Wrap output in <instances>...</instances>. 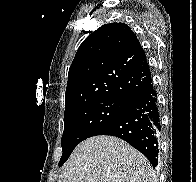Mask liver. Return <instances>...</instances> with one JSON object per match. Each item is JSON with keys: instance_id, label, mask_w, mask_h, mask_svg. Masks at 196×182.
<instances>
[{"instance_id": "6515ba94", "label": "liver", "mask_w": 196, "mask_h": 182, "mask_svg": "<svg viewBox=\"0 0 196 182\" xmlns=\"http://www.w3.org/2000/svg\"><path fill=\"white\" fill-rule=\"evenodd\" d=\"M58 182H158L147 158L125 141L94 136L82 141Z\"/></svg>"}]
</instances>
